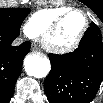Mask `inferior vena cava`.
Here are the masks:
<instances>
[{
  "instance_id": "602c4592",
  "label": "inferior vena cava",
  "mask_w": 103,
  "mask_h": 103,
  "mask_svg": "<svg viewBox=\"0 0 103 103\" xmlns=\"http://www.w3.org/2000/svg\"><path fill=\"white\" fill-rule=\"evenodd\" d=\"M23 42V40L21 38H17L15 39V41L13 42L14 46L20 45Z\"/></svg>"
}]
</instances>
